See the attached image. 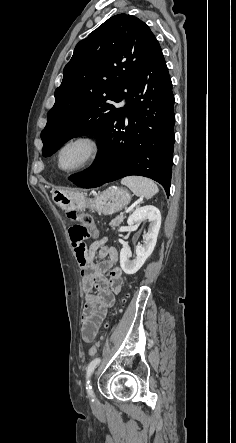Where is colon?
Masks as SVG:
<instances>
[{
    "instance_id": "5ec220e1",
    "label": "colon",
    "mask_w": 236,
    "mask_h": 443,
    "mask_svg": "<svg viewBox=\"0 0 236 443\" xmlns=\"http://www.w3.org/2000/svg\"><path fill=\"white\" fill-rule=\"evenodd\" d=\"M68 218L74 222V225L70 228L69 234L71 239L83 242L96 232V226L93 217L86 213L77 210H68ZM80 249H85V244L80 246ZM99 341L95 342L88 348V355L94 356L99 350Z\"/></svg>"
}]
</instances>
